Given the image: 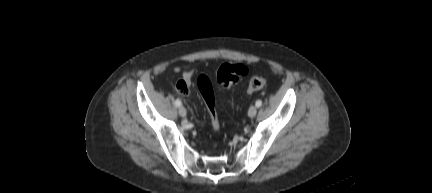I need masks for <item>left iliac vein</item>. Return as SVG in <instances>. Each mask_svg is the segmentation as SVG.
Listing matches in <instances>:
<instances>
[{
  "instance_id": "left-iliac-vein-1",
  "label": "left iliac vein",
  "mask_w": 432,
  "mask_h": 193,
  "mask_svg": "<svg viewBox=\"0 0 432 193\" xmlns=\"http://www.w3.org/2000/svg\"><path fill=\"white\" fill-rule=\"evenodd\" d=\"M257 113V107L252 105L250 106L249 110H248V115L249 117H254Z\"/></svg>"
}]
</instances>
